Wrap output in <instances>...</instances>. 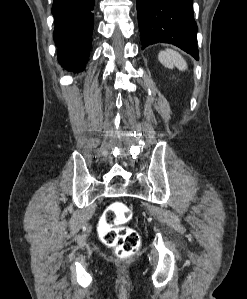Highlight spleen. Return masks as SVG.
<instances>
[{
	"instance_id": "1",
	"label": "spleen",
	"mask_w": 247,
	"mask_h": 299,
	"mask_svg": "<svg viewBox=\"0 0 247 299\" xmlns=\"http://www.w3.org/2000/svg\"><path fill=\"white\" fill-rule=\"evenodd\" d=\"M158 59L161 64L169 69H172L173 67H177L181 71H185L187 69L185 59L178 52L171 49L161 51L158 55Z\"/></svg>"
}]
</instances>
